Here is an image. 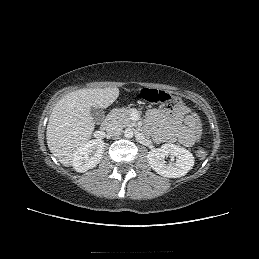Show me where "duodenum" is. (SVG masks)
I'll return each mask as SVG.
<instances>
[{"label":"duodenum","mask_w":259,"mask_h":259,"mask_svg":"<svg viewBox=\"0 0 259 259\" xmlns=\"http://www.w3.org/2000/svg\"><path fill=\"white\" fill-rule=\"evenodd\" d=\"M112 125V116L111 115H108L104 121L102 122L101 124V129L102 130H107L111 127Z\"/></svg>","instance_id":"1"}]
</instances>
